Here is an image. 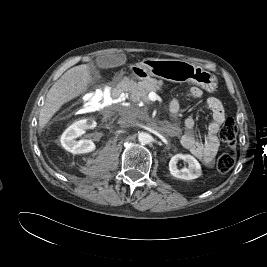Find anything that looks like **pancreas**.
<instances>
[{
  "label": "pancreas",
  "mask_w": 267,
  "mask_h": 267,
  "mask_svg": "<svg viewBox=\"0 0 267 267\" xmlns=\"http://www.w3.org/2000/svg\"><path fill=\"white\" fill-rule=\"evenodd\" d=\"M162 84V80H156L153 78H148L142 82H138L130 89V98L135 103L140 101L149 103L148 94L150 92H156L160 90Z\"/></svg>",
  "instance_id": "pancreas-1"
}]
</instances>
